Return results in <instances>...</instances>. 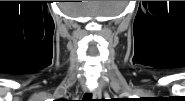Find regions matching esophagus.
I'll list each match as a JSON object with an SVG mask.
<instances>
[{"label": "esophagus", "instance_id": "1", "mask_svg": "<svg viewBox=\"0 0 185 101\" xmlns=\"http://www.w3.org/2000/svg\"><path fill=\"white\" fill-rule=\"evenodd\" d=\"M101 96H102V94H101L100 89H96V90L93 92V97H94V99L101 98Z\"/></svg>", "mask_w": 185, "mask_h": 101}]
</instances>
